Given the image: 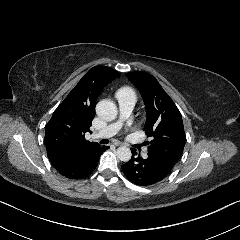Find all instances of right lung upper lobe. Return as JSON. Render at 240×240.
<instances>
[{"instance_id": "cb5924a9", "label": "right lung upper lobe", "mask_w": 240, "mask_h": 240, "mask_svg": "<svg viewBox=\"0 0 240 240\" xmlns=\"http://www.w3.org/2000/svg\"><path fill=\"white\" fill-rule=\"evenodd\" d=\"M120 75L105 66L91 68L59 105L46 126L45 143L50 161L79 156L99 146L85 139L95 116L96 100L104 86Z\"/></svg>"}]
</instances>
